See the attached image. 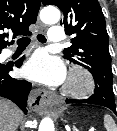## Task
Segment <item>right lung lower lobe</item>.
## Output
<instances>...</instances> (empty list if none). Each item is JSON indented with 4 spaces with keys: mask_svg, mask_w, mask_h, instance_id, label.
<instances>
[{
    "mask_svg": "<svg viewBox=\"0 0 117 131\" xmlns=\"http://www.w3.org/2000/svg\"><path fill=\"white\" fill-rule=\"evenodd\" d=\"M23 58L17 60L14 64H0V96L13 101L25 113L27 112V96L31 89V83L26 80H19L9 76L8 72L13 66L20 67Z\"/></svg>",
    "mask_w": 117,
    "mask_h": 131,
    "instance_id": "1",
    "label": "right lung lower lobe"
}]
</instances>
